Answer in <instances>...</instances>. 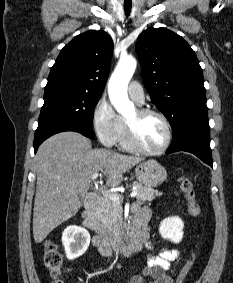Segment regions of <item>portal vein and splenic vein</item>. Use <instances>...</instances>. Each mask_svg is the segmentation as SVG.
Instances as JSON below:
<instances>
[{
	"label": "portal vein and splenic vein",
	"instance_id": "18ae733b",
	"mask_svg": "<svg viewBox=\"0 0 233 283\" xmlns=\"http://www.w3.org/2000/svg\"><path fill=\"white\" fill-rule=\"evenodd\" d=\"M98 177V173H94L92 175V180H95ZM102 193L105 197H108L109 199L118 202L121 200V196L119 194L113 193V192H109L107 190H102ZM137 195V191L134 190L130 193V197H135Z\"/></svg>",
	"mask_w": 233,
	"mask_h": 283
}]
</instances>
